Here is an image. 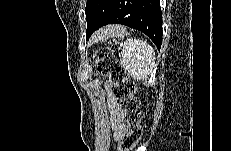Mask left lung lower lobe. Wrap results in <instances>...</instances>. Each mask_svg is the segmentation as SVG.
Segmentation results:
<instances>
[{
	"label": "left lung lower lobe",
	"instance_id": "left-lung-lower-lobe-1",
	"mask_svg": "<svg viewBox=\"0 0 231 151\" xmlns=\"http://www.w3.org/2000/svg\"><path fill=\"white\" fill-rule=\"evenodd\" d=\"M123 24L146 34L160 50L162 44V11L159 0H112L92 33L107 24Z\"/></svg>",
	"mask_w": 231,
	"mask_h": 151
}]
</instances>
